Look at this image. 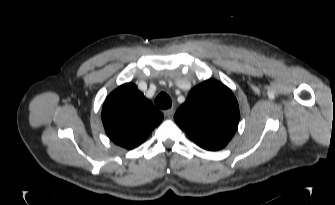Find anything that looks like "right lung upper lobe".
Masks as SVG:
<instances>
[{
  "label": "right lung upper lobe",
  "instance_id": "obj_1",
  "mask_svg": "<svg viewBox=\"0 0 335 205\" xmlns=\"http://www.w3.org/2000/svg\"><path fill=\"white\" fill-rule=\"evenodd\" d=\"M162 120V113L132 83L114 90L102 108L108 137L126 149L139 146Z\"/></svg>",
  "mask_w": 335,
  "mask_h": 205
}]
</instances>
